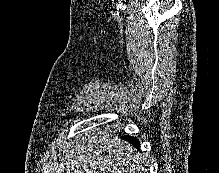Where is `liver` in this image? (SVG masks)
Listing matches in <instances>:
<instances>
[{
    "label": "liver",
    "mask_w": 219,
    "mask_h": 173,
    "mask_svg": "<svg viewBox=\"0 0 219 173\" xmlns=\"http://www.w3.org/2000/svg\"><path fill=\"white\" fill-rule=\"evenodd\" d=\"M64 151L66 173H147L141 154L108 133L90 130Z\"/></svg>",
    "instance_id": "obj_1"
}]
</instances>
